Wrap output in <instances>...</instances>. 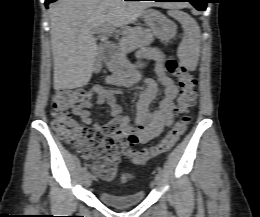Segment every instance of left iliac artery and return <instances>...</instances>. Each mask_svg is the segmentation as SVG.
<instances>
[{"mask_svg":"<svg viewBox=\"0 0 260 217\" xmlns=\"http://www.w3.org/2000/svg\"><path fill=\"white\" fill-rule=\"evenodd\" d=\"M157 170H158V172H159L160 175H163V169H162L160 166L157 167Z\"/></svg>","mask_w":260,"mask_h":217,"instance_id":"obj_1","label":"left iliac artery"}]
</instances>
